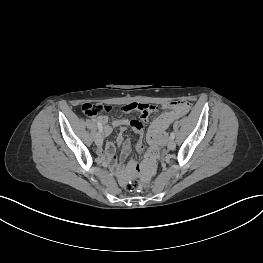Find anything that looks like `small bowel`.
Here are the masks:
<instances>
[{"label": "small bowel", "mask_w": 263, "mask_h": 263, "mask_svg": "<svg viewBox=\"0 0 263 263\" xmlns=\"http://www.w3.org/2000/svg\"><path fill=\"white\" fill-rule=\"evenodd\" d=\"M140 103V102H135ZM182 112L176 109L174 104H165L159 110V117L154 119L148 132V143L150 148L147 150V156L143 159L144 169L143 174L146 177L153 176L155 168L161 161L162 144L164 143L165 136L164 131L167 130L168 126L176 119L182 116ZM150 114L141 115V119H114L109 120L106 115H101L97 118V121L101 123L104 135L108 136L111 134L113 128H120V134L117 137V145H122V151L120 154L121 161L125 160L131 151V142L123 138V132L128 128H132L139 137V141L136 143V149L143 151L144 145L142 143V137L144 134V126ZM116 147L114 143L107 142L101 150V155L109 160H115ZM117 174L121 179H124L127 175L123 165L120 164L117 167Z\"/></svg>", "instance_id": "obj_1"}]
</instances>
